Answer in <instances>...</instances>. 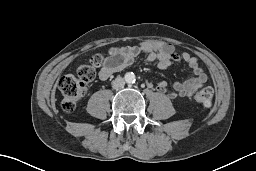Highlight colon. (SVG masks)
<instances>
[{
    "mask_svg": "<svg viewBox=\"0 0 256 171\" xmlns=\"http://www.w3.org/2000/svg\"><path fill=\"white\" fill-rule=\"evenodd\" d=\"M103 61L101 54L93 57V65H81L75 75L63 76L58 88L62 95V106L66 112H71L76 103L85 95L87 84L94 80L96 71L94 65ZM194 99L205 107H210L213 103L214 91L210 86H200L193 91Z\"/></svg>",
    "mask_w": 256,
    "mask_h": 171,
    "instance_id": "obj_1",
    "label": "colon"
}]
</instances>
